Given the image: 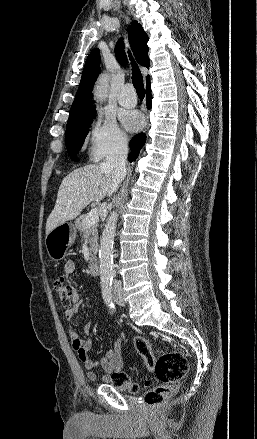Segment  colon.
<instances>
[{"label":"colon","instance_id":"colon-1","mask_svg":"<svg viewBox=\"0 0 257 439\" xmlns=\"http://www.w3.org/2000/svg\"><path fill=\"white\" fill-rule=\"evenodd\" d=\"M54 289L63 306L71 307L74 289L63 278L55 279ZM134 344L148 368L156 374L161 382L145 394V404L150 407L160 406L173 396L178 382L186 375L189 368L188 360L178 351L160 352L155 355L149 340L144 336H137ZM112 383L115 388L127 392H136L138 389L131 378L122 372L113 376Z\"/></svg>","mask_w":257,"mask_h":439}]
</instances>
